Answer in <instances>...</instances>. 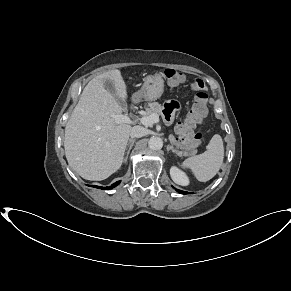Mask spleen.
<instances>
[{"label": "spleen", "mask_w": 291, "mask_h": 291, "mask_svg": "<svg viewBox=\"0 0 291 291\" xmlns=\"http://www.w3.org/2000/svg\"><path fill=\"white\" fill-rule=\"evenodd\" d=\"M224 159L223 140L220 135L215 134L207 150L197 156L187 158L182 166L191 169L197 180L206 182L212 179L219 171Z\"/></svg>", "instance_id": "3e777b00"}]
</instances>
